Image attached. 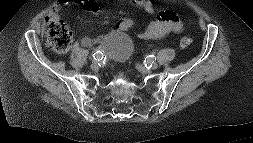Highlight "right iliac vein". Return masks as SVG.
Instances as JSON below:
<instances>
[{"label":"right iliac vein","instance_id":"right-iliac-vein-1","mask_svg":"<svg viewBox=\"0 0 253 143\" xmlns=\"http://www.w3.org/2000/svg\"><path fill=\"white\" fill-rule=\"evenodd\" d=\"M91 68H92L93 70H95V69L97 68V63H96V62H93V63L91 64Z\"/></svg>","mask_w":253,"mask_h":143}]
</instances>
